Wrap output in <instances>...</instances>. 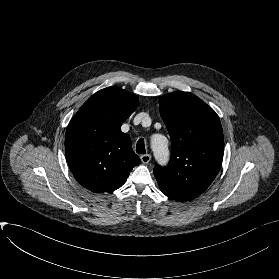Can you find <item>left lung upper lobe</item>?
<instances>
[{"label":"left lung upper lobe","instance_id":"obj_1","mask_svg":"<svg viewBox=\"0 0 279 279\" xmlns=\"http://www.w3.org/2000/svg\"><path fill=\"white\" fill-rule=\"evenodd\" d=\"M160 115L172 149L169 165L154 167L158 185L174 194L195 198L210 186L222 164L220 119L200 98L182 91L160 98Z\"/></svg>","mask_w":279,"mask_h":279}]
</instances>
